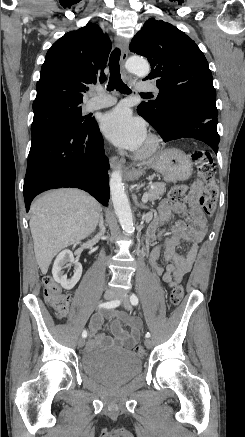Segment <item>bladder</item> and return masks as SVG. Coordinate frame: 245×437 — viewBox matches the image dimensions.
<instances>
[{
	"instance_id": "1",
	"label": "bladder",
	"mask_w": 245,
	"mask_h": 437,
	"mask_svg": "<svg viewBox=\"0 0 245 437\" xmlns=\"http://www.w3.org/2000/svg\"><path fill=\"white\" fill-rule=\"evenodd\" d=\"M84 373L103 383L123 384L135 377L142 368V361L126 349H93L81 358Z\"/></svg>"
}]
</instances>
